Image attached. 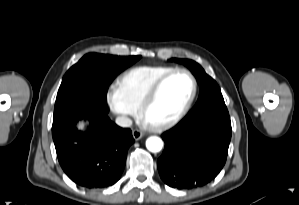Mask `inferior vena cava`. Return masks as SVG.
Returning a JSON list of instances; mask_svg holds the SVG:
<instances>
[{"mask_svg":"<svg viewBox=\"0 0 299 205\" xmlns=\"http://www.w3.org/2000/svg\"><path fill=\"white\" fill-rule=\"evenodd\" d=\"M116 124L121 127H130L132 125V120L126 116H118L116 118Z\"/></svg>","mask_w":299,"mask_h":205,"instance_id":"inferior-vena-cava-1","label":"inferior vena cava"}]
</instances>
